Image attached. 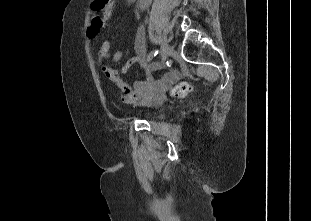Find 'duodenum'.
<instances>
[{
    "instance_id": "410a0bca",
    "label": "duodenum",
    "mask_w": 311,
    "mask_h": 221,
    "mask_svg": "<svg viewBox=\"0 0 311 221\" xmlns=\"http://www.w3.org/2000/svg\"><path fill=\"white\" fill-rule=\"evenodd\" d=\"M151 2V0H136V6L139 10H142L143 8H145L149 3Z\"/></svg>"
}]
</instances>
